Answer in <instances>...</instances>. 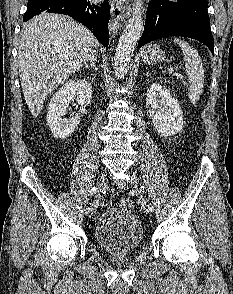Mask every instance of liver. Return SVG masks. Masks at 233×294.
<instances>
[{
  "instance_id": "6515ba94",
  "label": "liver",
  "mask_w": 233,
  "mask_h": 294,
  "mask_svg": "<svg viewBox=\"0 0 233 294\" xmlns=\"http://www.w3.org/2000/svg\"><path fill=\"white\" fill-rule=\"evenodd\" d=\"M97 48L90 30L67 16L43 13L30 21L20 41L18 67L34 118L58 85L95 58Z\"/></svg>"
}]
</instances>
